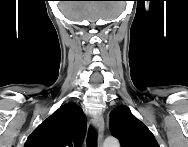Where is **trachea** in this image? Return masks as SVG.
<instances>
[{"instance_id":"3493384b","label":"trachea","mask_w":188,"mask_h":147,"mask_svg":"<svg viewBox=\"0 0 188 147\" xmlns=\"http://www.w3.org/2000/svg\"><path fill=\"white\" fill-rule=\"evenodd\" d=\"M87 147H97V135L94 130H89L87 136Z\"/></svg>"}]
</instances>
